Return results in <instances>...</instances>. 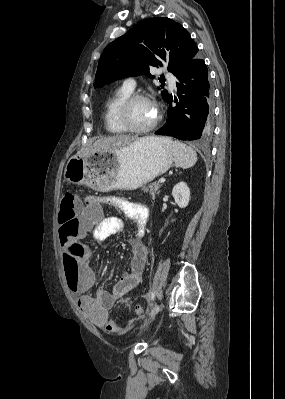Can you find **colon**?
I'll return each mask as SVG.
<instances>
[{"label":"colon","instance_id":"obj_1","mask_svg":"<svg viewBox=\"0 0 285 399\" xmlns=\"http://www.w3.org/2000/svg\"><path fill=\"white\" fill-rule=\"evenodd\" d=\"M80 206L78 197L72 193L67 192L61 201L59 222L62 227L69 230L73 235L77 234L78 224L69 222L75 214L76 208ZM64 272L68 280L75 281L80 274L81 260L83 258V249L80 245H71L64 253ZM135 313L140 314L143 308L137 305L134 308Z\"/></svg>","mask_w":285,"mask_h":399}]
</instances>
